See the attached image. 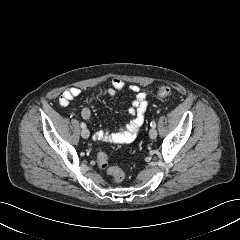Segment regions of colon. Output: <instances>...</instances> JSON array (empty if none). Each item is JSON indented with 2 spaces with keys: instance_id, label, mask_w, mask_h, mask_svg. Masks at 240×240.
Returning <instances> with one entry per match:
<instances>
[{
  "instance_id": "colon-1",
  "label": "colon",
  "mask_w": 240,
  "mask_h": 240,
  "mask_svg": "<svg viewBox=\"0 0 240 240\" xmlns=\"http://www.w3.org/2000/svg\"><path fill=\"white\" fill-rule=\"evenodd\" d=\"M156 96L161 98H168L171 95V89L168 86L162 85L154 90ZM98 166L105 169L109 175L112 177L115 183H121L125 179V173L116 166H111L109 164V157L106 153L100 152L97 155Z\"/></svg>"
}]
</instances>
